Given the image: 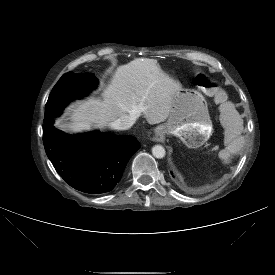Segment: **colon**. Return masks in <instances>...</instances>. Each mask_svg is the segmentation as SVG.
<instances>
[{"instance_id": "5ec220e1", "label": "colon", "mask_w": 275, "mask_h": 275, "mask_svg": "<svg viewBox=\"0 0 275 275\" xmlns=\"http://www.w3.org/2000/svg\"><path fill=\"white\" fill-rule=\"evenodd\" d=\"M196 83L205 92L215 97L218 103H224L226 101V94L221 85L211 77L204 73H198L196 76Z\"/></svg>"}]
</instances>
